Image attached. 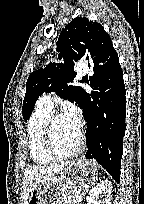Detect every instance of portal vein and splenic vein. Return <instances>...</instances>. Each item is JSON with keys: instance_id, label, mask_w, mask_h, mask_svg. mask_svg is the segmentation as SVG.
<instances>
[{"instance_id": "obj_1", "label": "portal vein and splenic vein", "mask_w": 144, "mask_h": 204, "mask_svg": "<svg viewBox=\"0 0 144 204\" xmlns=\"http://www.w3.org/2000/svg\"><path fill=\"white\" fill-rule=\"evenodd\" d=\"M74 194H75V196L78 197V198L81 197L79 191H75Z\"/></svg>"}]
</instances>
